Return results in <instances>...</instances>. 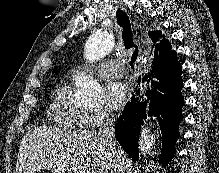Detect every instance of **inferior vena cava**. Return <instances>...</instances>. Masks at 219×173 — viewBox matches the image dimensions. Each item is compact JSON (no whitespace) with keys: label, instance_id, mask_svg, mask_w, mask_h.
<instances>
[{"label":"inferior vena cava","instance_id":"602c4592","mask_svg":"<svg viewBox=\"0 0 219 173\" xmlns=\"http://www.w3.org/2000/svg\"><path fill=\"white\" fill-rule=\"evenodd\" d=\"M114 114L111 110H105L102 115V121L98 136L106 143L109 149V173H118L117 158L119 153V146L114 139Z\"/></svg>","mask_w":219,"mask_h":173}]
</instances>
